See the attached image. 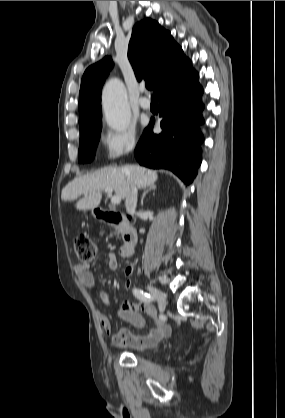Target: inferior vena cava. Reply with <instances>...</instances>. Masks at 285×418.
<instances>
[{
	"label": "inferior vena cava",
	"mask_w": 285,
	"mask_h": 418,
	"mask_svg": "<svg viewBox=\"0 0 285 418\" xmlns=\"http://www.w3.org/2000/svg\"><path fill=\"white\" fill-rule=\"evenodd\" d=\"M137 187L134 183H131V190L126 197L125 206L129 214L133 215L137 206Z\"/></svg>",
	"instance_id": "inferior-vena-cava-1"
}]
</instances>
